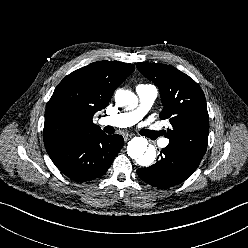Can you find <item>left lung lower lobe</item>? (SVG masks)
<instances>
[{"instance_id": "0a47b994", "label": "left lung lower lobe", "mask_w": 248, "mask_h": 248, "mask_svg": "<svg viewBox=\"0 0 248 248\" xmlns=\"http://www.w3.org/2000/svg\"><path fill=\"white\" fill-rule=\"evenodd\" d=\"M197 167L166 147L162 149L160 159L154 165L138 169L137 174L146 183L163 189L185 181Z\"/></svg>"}]
</instances>
